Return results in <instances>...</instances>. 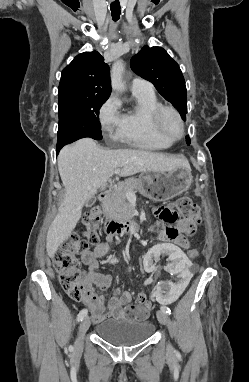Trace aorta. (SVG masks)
Wrapping results in <instances>:
<instances>
[{
    "instance_id": "1",
    "label": "aorta",
    "mask_w": 249,
    "mask_h": 382,
    "mask_svg": "<svg viewBox=\"0 0 249 382\" xmlns=\"http://www.w3.org/2000/svg\"><path fill=\"white\" fill-rule=\"evenodd\" d=\"M124 65L121 60L115 61L111 69V87L117 92H122L125 88L122 75Z\"/></svg>"
}]
</instances>
